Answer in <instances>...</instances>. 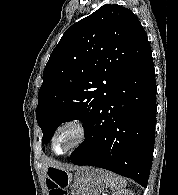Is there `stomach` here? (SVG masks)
<instances>
[{"mask_svg":"<svg viewBox=\"0 0 178 195\" xmlns=\"http://www.w3.org/2000/svg\"><path fill=\"white\" fill-rule=\"evenodd\" d=\"M49 168L53 169H48V172H51L58 178L66 181L70 187V195H100L106 187L105 180L99 173V169L94 167L85 166L76 168V172L73 175L69 170L56 167ZM48 179L52 180L50 177H48ZM57 186L58 187L53 189H61L59 191L61 194L67 193L66 188L63 185L57 184Z\"/></svg>","mask_w":178,"mask_h":195,"instance_id":"stomach-1","label":"stomach"}]
</instances>
